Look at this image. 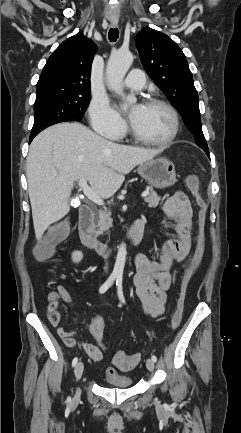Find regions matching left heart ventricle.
Returning <instances> with one entry per match:
<instances>
[{
  "label": "left heart ventricle",
  "instance_id": "left-heart-ventricle-1",
  "mask_svg": "<svg viewBox=\"0 0 241 433\" xmlns=\"http://www.w3.org/2000/svg\"><path fill=\"white\" fill-rule=\"evenodd\" d=\"M136 117L133 128L143 137L150 140H163L168 137L174 126L171 113L162 106H136Z\"/></svg>",
  "mask_w": 241,
  "mask_h": 433
}]
</instances>
